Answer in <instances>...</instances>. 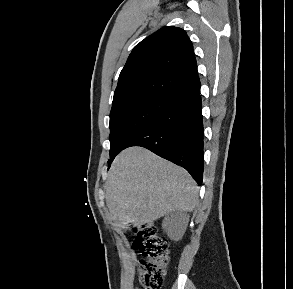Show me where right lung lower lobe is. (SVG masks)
Returning <instances> with one entry per match:
<instances>
[{
  "instance_id": "obj_1",
  "label": "right lung lower lobe",
  "mask_w": 293,
  "mask_h": 289,
  "mask_svg": "<svg viewBox=\"0 0 293 289\" xmlns=\"http://www.w3.org/2000/svg\"><path fill=\"white\" fill-rule=\"evenodd\" d=\"M145 147L185 168L201 185L203 180V117L200 93L174 105L140 131L123 149ZM121 149V150H123ZM116 152L108 161L109 166Z\"/></svg>"
}]
</instances>
